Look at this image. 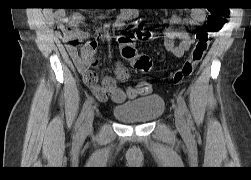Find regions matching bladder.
Returning <instances> with one entry per match:
<instances>
[{"mask_svg":"<svg viewBox=\"0 0 251 180\" xmlns=\"http://www.w3.org/2000/svg\"><path fill=\"white\" fill-rule=\"evenodd\" d=\"M165 101L158 94L149 95L137 100L115 105L113 116L125 124H145L154 121L162 115Z\"/></svg>","mask_w":251,"mask_h":180,"instance_id":"bladder-1","label":"bladder"}]
</instances>
